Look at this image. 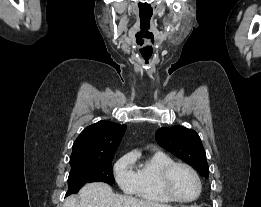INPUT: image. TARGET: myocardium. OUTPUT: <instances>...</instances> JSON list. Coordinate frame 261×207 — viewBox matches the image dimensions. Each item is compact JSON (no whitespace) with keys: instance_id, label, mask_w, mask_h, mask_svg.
Instances as JSON below:
<instances>
[{"instance_id":"myocardium-1","label":"myocardium","mask_w":261,"mask_h":207,"mask_svg":"<svg viewBox=\"0 0 261 207\" xmlns=\"http://www.w3.org/2000/svg\"><path fill=\"white\" fill-rule=\"evenodd\" d=\"M178 167H182V168H185L186 170H188L192 174L194 179L196 180L197 187H198L197 194L195 197H193L191 199H182V198L178 197L171 188V185H170L171 175H172L173 171ZM160 184H161V188H162L164 194L169 199H171L172 201L177 202V203H192L200 197L201 192H202V182H201V179H200L198 173L192 166H190L189 164L184 163V162H172V163L168 164L167 166H165L160 175Z\"/></svg>"}]
</instances>
